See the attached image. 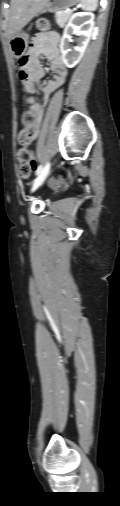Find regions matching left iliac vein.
<instances>
[{
  "label": "left iliac vein",
  "mask_w": 120,
  "mask_h": 506,
  "mask_svg": "<svg viewBox=\"0 0 120 506\" xmlns=\"http://www.w3.org/2000/svg\"><path fill=\"white\" fill-rule=\"evenodd\" d=\"M49 171H50V163H47L44 166V168L42 169V171L38 174L36 179L34 180L33 185H32V189H31L32 191H35L44 182Z\"/></svg>",
  "instance_id": "4c4485c4"
}]
</instances>
